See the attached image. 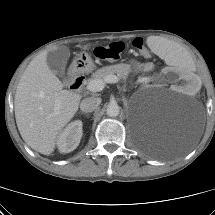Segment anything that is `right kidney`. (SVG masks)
Instances as JSON below:
<instances>
[{
	"mask_svg": "<svg viewBox=\"0 0 215 215\" xmlns=\"http://www.w3.org/2000/svg\"><path fill=\"white\" fill-rule=\"evenodd\" d=\"M82 137V121L76 120L68 124L57 138V146L61 153H69L77 148Z\"/></svg>",
	"mask_w": 215,
	"mask_h": 215,
	"instance_id": "right-kidney-1",
	"label": "right kidney"
}]
</instances>
